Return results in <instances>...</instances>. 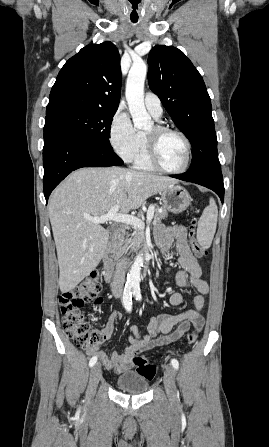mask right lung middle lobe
Masks as SVG:
<instances>
[{
    "instance_id": "1",
    "label": "right lung middle lobe",
    "mask_w": 269,
    "mask_h": 447,
    "mask_svg": "<svg viewBox=\"0 0 269 447\" xmlns=\"http://www.w3.org/2000/svg\"><path fill=\"white\" fill-rule=\"evenodd\" d=\"M117 109L61 108L46 113V123L62 126L71 133L112 150L111 121Z\"/></svg>"
}]
</instances>
